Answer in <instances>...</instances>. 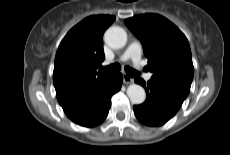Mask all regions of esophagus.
Instances as JSON below:
<instances>
[{
  "label": "esophagus",
  "instance_id": "obj_1",
  "mask_svg": "<svg viewBox=\"0 0 230 155\" xmlns=\"http://www.w3.org/2000/svg\"><path fill=\"white\" fill-rule=\"evenodd\" d=\"M123 82L125 84H130L134 82V79L129 77L127 74H123Z\"/></svg>",
  "mask_w": 230,
  "mask_h": 155
}]
</instances>
